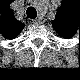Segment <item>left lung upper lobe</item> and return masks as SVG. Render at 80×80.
Instances as JSON below:
<instances>
[{"mask_svg":"<svg viewBox=\"0 0 80 80\" xmlns=\"http://www.w3.org/2000/svg\"><path fill=\"white\" fill-rule=\"evenodd\" d=\"M55 30L64 38H70L76 33L75 21L71 9L64 2L57 12V19L52 22Z\"/></svg>","mask_w":80,"mask_h":80,"instance_id":"left-lung-upper-lobe-1","label":"left lung upper lobe"}]
</instances>
